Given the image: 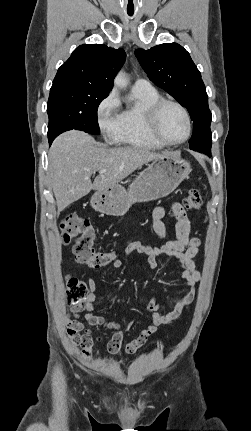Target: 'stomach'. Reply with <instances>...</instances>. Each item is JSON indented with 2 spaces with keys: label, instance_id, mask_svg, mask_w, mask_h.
<instances>
[{
  "label": "stomach",
  "instance_id": "1",
  "mask_svg": "<svg viewBox=\"0 0 251 431\" xmlns=\"http://www.w3.org/2000/svg\"><path fill=\"white\" fill-rule=\"evenodd\" d=\"M190 171L186 161L168 153L149 164L127 190L116 184L97 191L91 198V206L106 215L123 216L136 202H149L169 195Z\"/></svg>",
  "mask_w": 251,
  "mask_h": 431
}]
</instances>
